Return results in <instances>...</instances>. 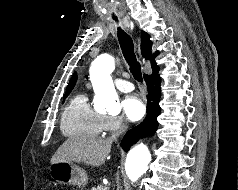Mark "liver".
<instances>
[{
    "mask_svg": "<svg viewBox=\"0 0 238 190\" xmlns=\"http://www.w3.org/2000/svg\"><path fill=\"white\" fill-rule=\"evenodd\" d=\"M112 141L88 137H69L51 158V164L77 162L98 167L110 153Z\"/></svg>",
    "mask_w": 238,
    "mask_h": 190,
    "instance_id": "1",
    "label": "liver"
}]
</instances>
